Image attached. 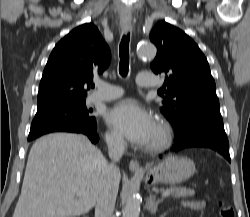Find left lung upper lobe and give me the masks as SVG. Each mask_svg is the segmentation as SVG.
<instances>
[{
    "instance_id": "left-lung-upper-lobe-1",
    "label": "left lung upper lobe",
    "mask_w": 250,
    "mask_h": 217,
    "mask_svg": "<svg viewBox=\"0 0 250 217\" xmlns=\"http://www.w3.org/2000/svg\"><path fill=\"white\" fill-rule=\"evenodd\" d=\"M157 47L151 64L156 74L165 76L161 112L178 127L189 112L219 107L216 85L207 59L197 44L182 30L160 21L151 31Z\"/></svg>"
}]
</instances>
